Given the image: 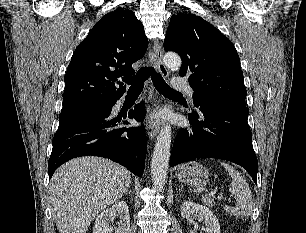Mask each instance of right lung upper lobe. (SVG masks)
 Here are the masks:
<instances>
[{"mask_svg":"<svg viewBox=\"0 0 306 233\" xmlns=\"http://www.w3.org/2000/svg\"><path fill=\"white\" fill-rule=\"evenodd\" d=\"M142 23L131 10L117 8L101 18L76 48L65 75L63 104L115 103L126 86L118 79L133 75L132 64L146 52Z\"/></svg>","mask_w":306,"mask_h":233,"instance_id":"cb5924a9","label":"right lung upper lobe"}]
</instances>
